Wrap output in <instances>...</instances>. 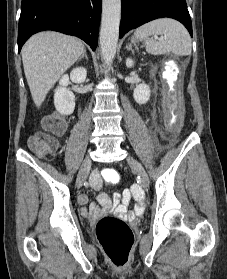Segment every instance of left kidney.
<instances>
[{"mask_svg":"<svg viewBox=\"0 0 227 279\" xmlns=\"http://www.w3.org/2000/svg\"><path fill=\"white\" fill-rule=\"evenodd\" d=\"M126 66L131 68L134 66V61L130 58L126 60ZM151 90L150 87L146 84H139L133 93V97L138 104H145L150 99Z\"/></svg>","mask_w":227,"mask_h":279,"instance_id":"5707ae66","label":"left kidney"}]
</instances>
